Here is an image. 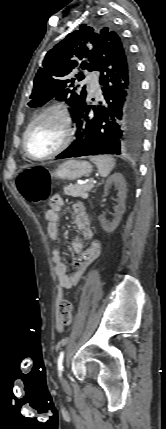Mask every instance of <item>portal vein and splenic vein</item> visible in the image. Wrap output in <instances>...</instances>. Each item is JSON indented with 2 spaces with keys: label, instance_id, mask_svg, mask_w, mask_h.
<instances>
[{
  "label": "portal vein and splenic vein",
  "instance_id": "obj_1",
  "mask_svg": "<svg viewBox=\"0 0 166 429\" xmlns=\"http://www.w3.org/2000/svg\"><path fill=\"white\" fill-rule=\"evenodd\" d=\"M89 182L91 183H95L94 179H90Z\"/></svg>",
  "mask_w": 166,
  "mask_h": 429
}]
</instances>
